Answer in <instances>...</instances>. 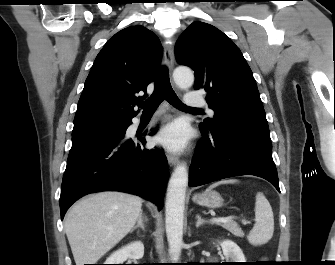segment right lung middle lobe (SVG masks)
Wrapping results in <instances>:
<instances>
[{
    "label": "right lung middle lobe",
    "instance_id": "1",
    "mask_svg": "<svg viewBox=\"0 0 335 265\" xmlns=\"http://www.w3.org/2000/svg\"><path fill=\"white\" fill-rule=\"evenodd\" d=\"M128 122L122 123H93L74 126L72 142L94 137H117L124 133Z\"/></svg>",
    "mask_w": 335,
    "mask_h": 265
}]
</instances>
